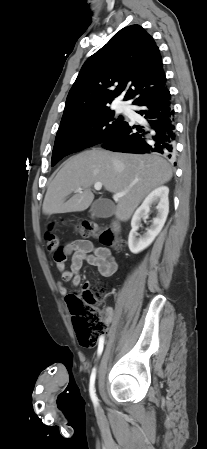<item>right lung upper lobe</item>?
Wrapping results in <instances>:
<instances>
[{
	"mask_svg": "<svg viewBox=\"0 0 207 449\" xmlns=\"http://www.w3.org/2000/svg\"><path fill=\"white\" fill-rule=\"evenodd\" d=\"M166 89L154 39L141 26H128L86 60L67 96L62 119L109 108L120 94L134 104Z\"/></svg>",
	"mask_w": 207,
	"mask_h": 449,
	"instance_id": "1",
	"label": "right lung upper lobe"
}]
</instances>
